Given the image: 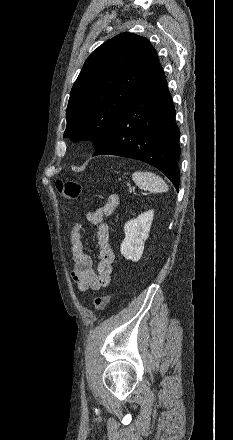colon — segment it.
I'll list each match as a JSON object with an SVG mask.
<instances>
[{
	"instance_id": "1",
	"label": "colon",
	"mask_w": 233,
	"mask_h": 440,
	"mask_svg": "<svg viewBox=\"0 0 233 440\" xmlns=\"http://www.w3.org/2000/svg\"><path fill=\"white\" fill-rule=\"evenodd\" d=\"M56 189L57 191L70 199H75L81 195L82 188L81 185L73 180H63L58 179L56 181ZM112 294H104L97 296L94 300V309L97 312H101L105 309L106 305L110 301Z\"/></svg>"
}]
</instances>
